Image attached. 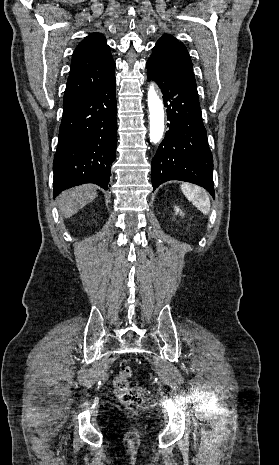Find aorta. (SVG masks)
<instances>
[{
    "instance_id": "1",
    "label": "aorta",
    "mask_w": 279,
    "mask_h": 465,
    "mask_svg": "<svg viewBox=\"0 0 279 465\" xmlns=\"http://www.w3.org/2000/svg\"><path fill=\"white\" fill-rule=\"evenodd\" d=\"M148 108L150 119V142L158 143L164 133V109L163 102L157 95L151 84L148 91Z\"/></svg>"
}]
</instances>
